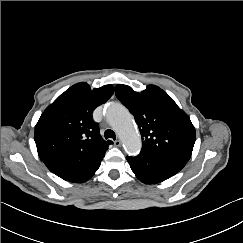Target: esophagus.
<instances>
[{
  "mask_svg": "<svg viewBox=\"0 0 243 243\" xmlns=\"http://www.w3.org/2000/svg\"><path fill=\"white\" fill-rule=\"evenodd\" d=\"M114 145L117 146V147H120L121 146V141L120 140H115L114 141Z\"/></svg>",
  "mask_w": 243,
  "mask_h": 243,
  "instance_id": "34e87169",
  "label": "esophagus"
}]
</instances>
